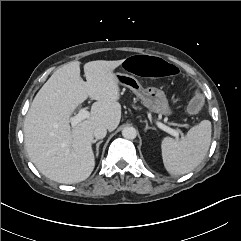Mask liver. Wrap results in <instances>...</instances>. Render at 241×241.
<instances>
[{
    "label": "liver",
    "instance_id": "6515ba94",
    "mask_svg": "<svg viewBox=\"0 0 241 241\" xmlns=\"http://www.w3.org/2000/svg\"><path fill=\"white\" fill-rule=\"evenodd\" d=\"M124 60L80 62L56 70L35 96L24 120V143L30 160L50 180L73 184L95 167L94 130H115L121 119L120 88L113 72ZM96 100L87 120L71 129L70 116L87 98Z\"/></svg>",
    "mask_w": 241,
    "mask_h": 241
}]
</instances>
